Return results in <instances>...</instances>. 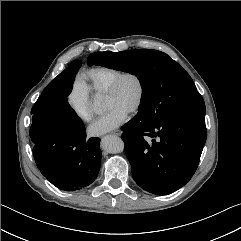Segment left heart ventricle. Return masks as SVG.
Here are the masks:
<instances>
[{
  "instance_id": "obj_1",
  "label": "left heart ventricle",
  "mask_w": 241,
  "mask_h": 241,
  "mask_svg": "<svg viewBox=\"0 0 241 241\" xmlns=\"http://www.w3.org/2000/svg\"><path fill=\"white\" fill-rule=\"evenodd\" d=\"M138 96V84L132 77L125 78L119 85L116 93L104 96L105 109L118 107L127 113L133 107Z\"/></svg>"
}]
</instances>
